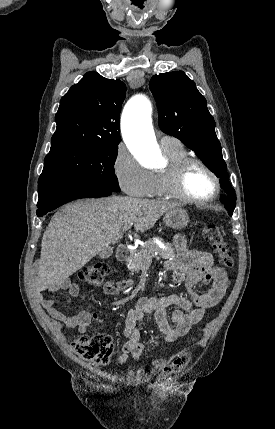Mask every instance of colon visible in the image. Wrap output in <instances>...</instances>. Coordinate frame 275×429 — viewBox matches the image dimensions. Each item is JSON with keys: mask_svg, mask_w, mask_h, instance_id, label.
I'll list each match as a JSON object with an SVG mask.
<instances>
[{"mask_svg": "<svg viewBox=\"0 0 275 429\" xmlns=\"http://www.w3.org/2000/svg\"><path fill=\"white\" fill-rule=\"evenodd\" d=\"M203 235L218 256L221 266L230 270L233 266V257L228 243L223 237L221 229L215 224H207L203 228ZM109 272L105 263H94L85 266L80 271V278L91 285H99ZM228 278L225 285H228ZM70 346L81 359L97 366L108 364L113 353V341L109 335L97 334L82 335L71 340ZM191 362V354L187 351L178 353L166 366L167 377L181 374Z\"/></svg>", "mask_w": 275, "mask_h": 429, "instance_id": "1", "label": "colon"}]
</instances>
